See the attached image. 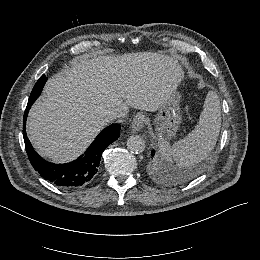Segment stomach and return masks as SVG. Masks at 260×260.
Listing matches in <instances>:
<instances>
[{"instance_id": "stomach-1", "label": "stomach", "mask_w": 260, "mask_h": 260, "mask_svg": "<svg viewBox=\"0 0 260 260\" xmlns=\"http://www.w3.org/2000/svg\"><path fill=\"white\" fill-rule=\"evenodd\" d=\"M181 121L179 100L177 94H175L161 106L158 116L153 121V125L157 135L165 139L176 135Z\"/></svg>"}]
</instances>
